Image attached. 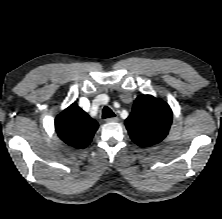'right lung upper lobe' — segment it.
<instances>
[{
	"label": "right lung upper lobe",
	"instance_id": "right-lung-upper-lobe-1",
	"mask_svg": "<svg viewBox=\"0 0 222 219\" xmlns=\"http://www.w3.org/2000/svg\"><path fill=\"white\" fill-rule=\"evenodd\" d=\"M98 126V123L76 103L61 112L55 120V129L59 138L77 149L90 144Z\"/></svg>",
	"mask_w": 222,
	"mask_h": 219
}]
</instances>
